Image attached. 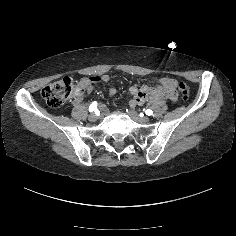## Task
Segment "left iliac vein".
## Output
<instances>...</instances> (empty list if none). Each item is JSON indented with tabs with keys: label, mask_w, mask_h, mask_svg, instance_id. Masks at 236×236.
Instances as JSON below:
<instances>
[{
	"label": "left iliac vein",
	"mask_w": 236,
	"mask_h": 236,
	"mask_svg": "<svg viewBox=\"0 0 236 236\" xmlns=\"http://www.w3.org/2000/svg\"><path fill=\"white\" fill-rule=\"evenodd\" d=\"M129 115L133 118V120L139 123H148L150 121L149 117H141L135 110H130Z\"/></svg>",
	"instance_id": "left-iliac-vein-1"
}]
</instances>
